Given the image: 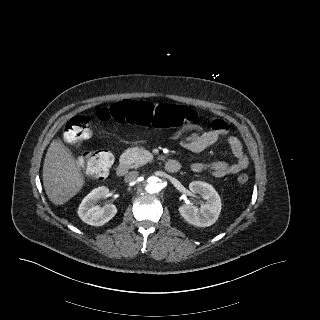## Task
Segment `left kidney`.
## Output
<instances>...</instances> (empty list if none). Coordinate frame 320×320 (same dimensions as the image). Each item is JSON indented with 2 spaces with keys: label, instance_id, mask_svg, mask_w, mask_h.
Here are the masks:
<instances>
[{
  "label": "left kidney",
  "instance_id": "obj_1",
  "mask_svg": "<svg viewBox=\"0 0 320 320\" xmlns=\"http://www.w3.org/2000/svg\"><path fill=\"white\" fill-rule=\"evenodd\" d=\"M192 193L199 194L206 202L197 206L185 204L179 207L183 219L197 227H208L213 225L221 212L222 204L217 191L208 183L193 181L189 184Z\"/></svg>",
  "mask_w": 320,
  "mask_h": 320
}]
</instances>
